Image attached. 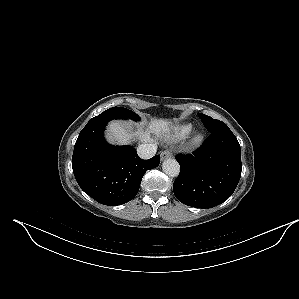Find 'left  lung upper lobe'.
Wrapping results in <instances>:
<instances>
[{
  "instance_id": "1",
  "label": "left lung upper lobe",
  "mask_w": 299,
  "mask_h": 299,
  "mask_svg": "<svg viewBox=\"0 0 299 299\" xmlns=\"http://www.w3.org/2000/svg\"><path fill=\"white\" fill-rule=\"evenodd\" d=\"M199 118L202 120L204 126L206 127V129L211 132L223 125H225L224 122H221L219 120L213 119L210 116H207L205 114L202 113H198Z\"/></svg>"
}]
</instances>
